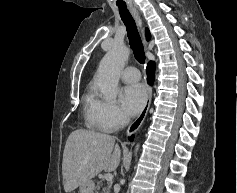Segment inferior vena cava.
I'll use <instances>...</instances> for the list:
<instances>
[{"label":"inferior vena cava","instance_id":"1","mask_svg":"<svg viewBox=\"0 0 237 193\" xmlns=\"http://www.w3.org/2000/svg\"><path fill=\"white\" fill-rule=\"evenodd\" d=\"M128 122H129L128 117H126V116L121 117L120 124H121L122 127L125 126Z\"/></svg>","mask_w":237,"mask_h":193}]
</instances>
